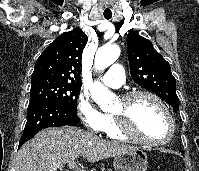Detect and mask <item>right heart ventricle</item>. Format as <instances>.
Listing matches in <instances>:
<instances>
[{"label":"right heart ventricle","instance_id":"1","mask_svg":"<svg viewBox=\"0 0 199 171\" xmlns=\"http://www.w3.org/2000/svg\"><path fill=\"white\" fill-rule=\"evenodd\" d=\"M103 132L107 137L113 140H126L129 137L122 134L115 123V120L111 114H106V125L103 129Z\"/></svg>","mask_w":199,"mask_h":171}]
</instances>
